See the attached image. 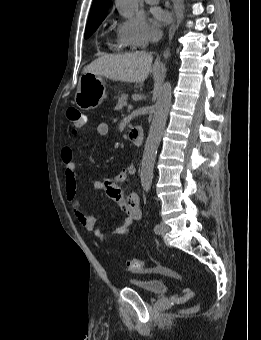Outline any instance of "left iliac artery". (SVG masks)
<instances>
[{
	"instance_id": "obj_1",
	"label": "left iliac artery",
	"mask_w": 261,
	"mask_h": 340,
	"mask_svg": "<svg viewBox=\"0 0 261 340\" xmlns=\"http://www.w3.org/2000/svg\"><path fill=\"white\" fill-rule=\"evenodd\" d=\"M159 230H160V225H159V224H156V225L154 226V231H155V233L158 232Z\"/></svg>"
}]
</instances>
